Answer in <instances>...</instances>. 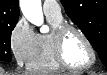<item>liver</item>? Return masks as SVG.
Here are the masks:
<instances>
[{
  "mask_svg": "<svg viewBox=\"0 0 107 75\" xmlns=\"http://www.w3.org/2000/svg\"><path fill=\"white\" fill-rule=\"evenodd\" d=\"M3 75V74H2ZM13 75H18V74H13ZM20 75V74H19ZM21 75H30L29 73H23Z\"/></svg>",
  "mask_w": 107,
  "mask_h": 75,
  "instance_id": "liver-1",
  "label": "liver"
}]
</instances>
